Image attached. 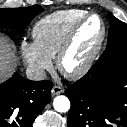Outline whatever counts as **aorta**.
Segmentation results:
<instances>
[{
	"mask_svg": "<svg viewBox=\"0 0 127 127\" xmlns=\"http://www.w3.org/2000/svg\"><path fill=\"white\" fill-rule=\"evenodd\" d=\"M53 107L57 112H67L70 109V101L66 96H57L53 101Z\"/></svg>",
	"mask_w": 127,
	"mask_h": 127,
	"instance_id": "1",
	"label": "aorta"
}]
</instances>
